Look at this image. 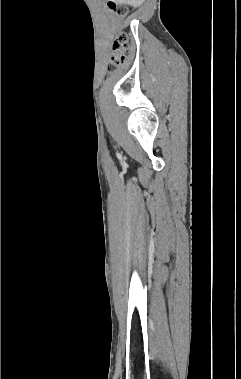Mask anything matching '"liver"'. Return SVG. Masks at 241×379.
<instances>
[{
	"instance_id": "6515ba94",
	"label": "liver",
	"mask_w": 241,
	"mask_h": 379,
	"mask_svg": "<svg viewBox=\"0 0 241 379\" xmlns=\"http://www.w3.org/2000/svg\"><path fill=\"white\" fill-rule=\"evenodd\" d=\"M116 3L136 4L137 0H115Z\"/></svg>"
}]
</instances>
